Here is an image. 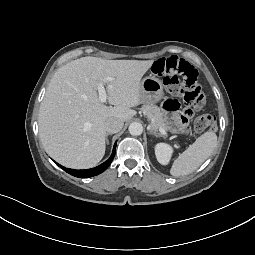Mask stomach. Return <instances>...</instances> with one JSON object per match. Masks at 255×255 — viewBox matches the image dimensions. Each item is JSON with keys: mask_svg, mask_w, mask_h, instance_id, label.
Returning <instances> with one entry per match:
<instances>
[{"mask_svg": "<svg viewBox=\"0 0 255 255\" xmlns=\"http://www.w3.org/2000/svg\"><path fill=\"white\" fill-rule=\"evenodd\" d=\"M141 100L143 103L154 104L164 97L163 83L154 76L145 77L141 81Z\"/></svg>", "mask_w": 255, "mask_h": 255, "instance_id": "1", "label": "stomach"}]
</instances>
